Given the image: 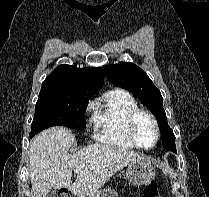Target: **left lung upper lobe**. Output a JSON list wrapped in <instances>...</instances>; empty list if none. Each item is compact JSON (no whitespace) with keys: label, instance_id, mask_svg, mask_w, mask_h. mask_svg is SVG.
I'll return each mask as SVG.
<instances>
[{"label":"left lung upper lobe","instance_id":"5c2ea615","mask_svg":"<svg viewBox=\"0 0 209 197\" xmlns=\"http://www.w3.org/2000/svg\"><path fill=\"white\" fill-rule=\"evenodd\" d=\"M107 79L114 85L135 94L155 115L165 149L174 151L175 136L167 123L162 96L148 75L131 62H120L104 68Z\"/></svg>","mask_w":209,"mask_h":197}]
</instances>
